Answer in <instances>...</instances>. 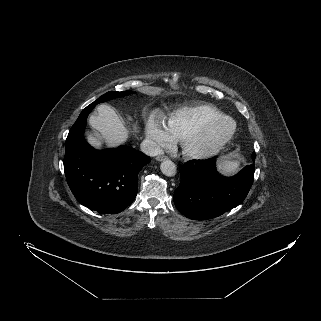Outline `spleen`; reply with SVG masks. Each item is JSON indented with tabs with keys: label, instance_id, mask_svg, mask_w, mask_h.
Instances as JSON below:
<instances>
[{
	"label": "spleen",
	"instance_id": "obj_1",
	"mask_svg": "<svg viewBox=\"0 0 321 321\" xmlns=\"http://www.w3.org/2000/svg\"><path fill=\"white\" fill-rule=\"evenodd\" d=\"M240 166V162L237 160H223L218 164V168L221 172L225 174L234 173L238 167Z\"/></svg>",
	"mask_w": 321,
	"mask_h": 321
}]
</instances>
